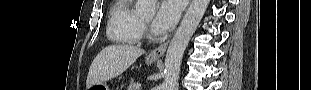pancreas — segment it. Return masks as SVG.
<instances>
[{
  "instance_id": "obj_1",
  "label": "pancreas",
  "mask_w": 311,
  "mask_h": 90,
  "mask_svg": "<svg viewBox=\"0 0 311 90\" xmlns=\"http://www.w3.org/2000/svg\"><path fill=\"white\" fill-rule=\"evenodd\" d=\"M127 90H139V84L135 81H131Z\"/></svg>"
}]
</instances>
